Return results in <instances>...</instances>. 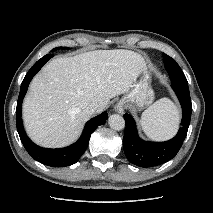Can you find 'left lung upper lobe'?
<instances>
[{
	"mask_svg": "<svg viewBox=\"0 0 213 213\" xmlns=\"http://www.w3.org/2000/svg\"><path fill=\"white\" fill-rule=\"evenodd\" d=\"M163 60L172 84L188 87V82L176 61L165 53H163Z\"/></svg>",
	"mask_w": 213,
	"mask_h": 213,
	"instance_id": "left-lung-upper-lobe-1",
	"label": "left lung upper lobe"
}]
</instances>
